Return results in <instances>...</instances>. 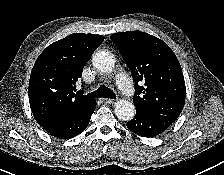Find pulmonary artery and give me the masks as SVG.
<instances>
[{
  "instance_id": "pulmonary-artery-1",
  "label": "pulmonary artery",
  "mask_w": 224,
  "mask_h": 175,
  "mask_svg": "<svg viewBox=\"0 0 224 175\" xmlns=\"http://www.w3.org/2000/svg\"><path fill=\"white\" fill-rule=\"evenodd\" d=\"M116 83L118 88L126 95H133L134 94V88L131 85L129 78L125 73H119L116 76Z\"/></svg>"
}]
</instances>
